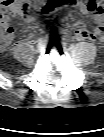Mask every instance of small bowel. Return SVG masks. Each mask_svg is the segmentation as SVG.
Returning <instances> with one entry per match:
<instances>
[{
    "label": "small bowel",
    "mask_w": 104,
    "mask_h": 137,
    "mask_svg": "<svg viewBox=\"0 0 104 137\" xmlns=\"http://www.w3.org/2000/svg\"><path fill=\"white\" fill-rule=\"evenodd\" d=\"M38 3H41L42 0H37ZM60 6H73L81 11L84 15L91 14L94 17L95 23L92 30H88L86 28H78L74 32V36L78 40L88 39V40H96L99 39L103 30L101 27V21L103 18V8L101 6L100 0H64ZM19 15L22 21L25 24H30L34 21L33 16L26 13L25 11H20ZM1 23L3 26H10L9 18L6 14H2ZM14 39L13 32L10 34H6L2 40H0V48L2 51H8L10 45Z\"/></svg>",
    "instance_id": "c3829d8e"
}]
</instances>
